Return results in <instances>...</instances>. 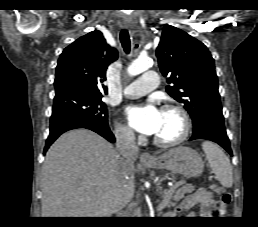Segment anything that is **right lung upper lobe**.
<instances>
[{
  "label": "right lung upper lobe",
  "instance_id": "cb5924a9",
  "mask_svg": "<svg viewBox=\"0 0 258 227\" xmlns=\"http://www.w3.org/2000/svg\"><path fill=\"white\" fill-rule=\"evenodd\" d=\"M118 58L115 48L106 43L100 31H92L66 47L55 74L56 94L77 91L103 96L107 87V67Z\"/></svg>",
  "mask_w": 258,
  "mask_h": 227
}]
</instances>
